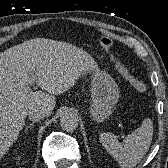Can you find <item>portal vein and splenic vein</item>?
Instances as JSON below:
<instances>
[{
  "label": "portal vein and splenic vein",
  "instance_id": "1",
  "mask_svg": "<svg viewBox=\"0 0 168 168\" xmlns=\"http://www.w3.org/2000/svg\"><path fill=\"white\" fill-rule=\"evenodd\" d=\"M35 81H36V77H35V76H32V77L30 78V81H29L30 85H32Z\"/></svg>",
  "mask_w": 168,
  "mask_h": 168
}]
</instances>
